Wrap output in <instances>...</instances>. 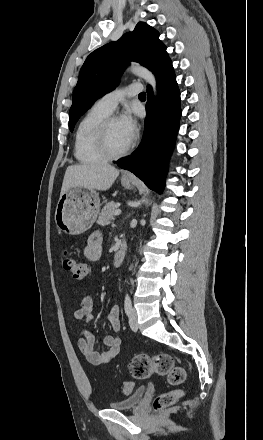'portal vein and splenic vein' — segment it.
Here are the masks:
<instances>
[{
	"instance_id": "portal-vein-and-splenic-vein-1",
	"label": "portal vein and splenic vein",
	"mask_w": 263,
	"mask_h": 440,
	"mask_svg": "<svg viewBox=\"0 0 263 440\" xmlns=\"http://www.w3.org/2000/svg\"><path fill=\"white\" fill-rule=\"evenodd\" d=\"M121 214V211L120 210H116L115 212H114V215H120Z\"/></svg>"
}]
</instances>
